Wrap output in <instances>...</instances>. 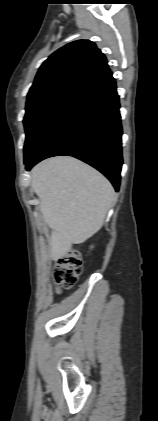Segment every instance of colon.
<instances>
[{"mask_svg": "<svg viewBox=\"0 0 158 421\" xmlns=\"http://www.w3.org/2000/svg\"><path fill=\"white\" fill-rule=\"evenodd\" d=\"M81 272L82 260L77 251L71 250L60 257L54 268V280L59 290L71 288Z\"/></svg>", "mask_w": 158, "mask_h": 421, "instance_id": "obj_1", "label": "colon"}]
</instances>
